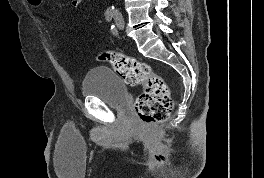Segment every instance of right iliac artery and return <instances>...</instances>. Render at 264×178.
<instances>
[{
  "instance_id": "obj_1",
  "label": "right iliac artery",
  "mask_w": 264,
  "mask_h": 178,
  "mask_svg": "<svg viewBox=\"0 0 264 178\" xmlns=\"http://www.w3.org/2000/svg\"><path fill=\"white\" fill-rule=\"evenodd\" d=\"M114 12L112 10H107L105 13L106 20L109 22L112 20Z\"/></svg>"
}]
</instances>
